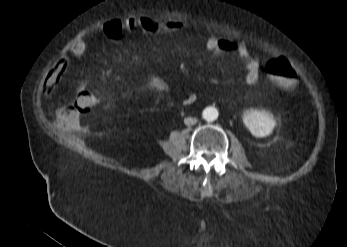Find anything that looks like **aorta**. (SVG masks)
Listing matches in <instances>:
<instances>
[{
  "label": "aorta",
  "instance_id": "aorta-1",
  "mask_svg": "<svg viewBox=\"0 0 347 247\" xmlns=\"http://www.w3.org/2000/svg\"><path fill=\"white\" fill-rule=\"evenodd\" d=\"M203 118L206 120V121H214L217 119L218 117V113L215 109L213 108H207L203 111Z\"/></svg>",
  "mask_w": 347,
  "mask_h": 247
}]
</instances>
